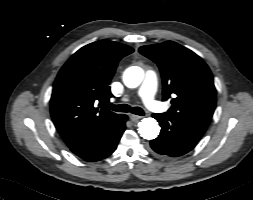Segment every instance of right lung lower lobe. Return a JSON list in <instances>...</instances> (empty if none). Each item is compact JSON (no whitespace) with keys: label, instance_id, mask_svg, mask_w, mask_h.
<instances>
[{"label":"right lung lower lobe","instance_id":"1","mask_svg":"<svg viewBox=\"0 0 253 200\" xmlns=\"http://www.w3.org/2000/svg\"><path fill=\"white\" fill-rule=\"evenodd\" d=\"M126 115H122L115 124L95 137L75 144L70 150L80 158L92 162L108 157L112 154L125 130Z\"/></svg>","mask_w":253,"mask_h":200}]
</instances>
